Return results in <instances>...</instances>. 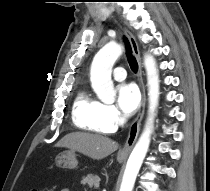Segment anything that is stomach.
Wrapping results in <instances>:
<instances>
[{"label": "stomach", "mask_w": 210, "mask_h": 191, "mask_svg": "<svg viewBox=\"0 0 210 191\" xmlns=\"http://www.w3.org/2000/svg\"><path fill=\"white\" fill-rule=\"evenodd\" d=\"M125 158L118 157L119 162H123ZM56 166L59 168H65V169H74L78 165V161L76 159L75 152L70 151H64L60 153L56 159H55Z\"/></svg>", "instance_id": "obj_1"}]
</instances>
